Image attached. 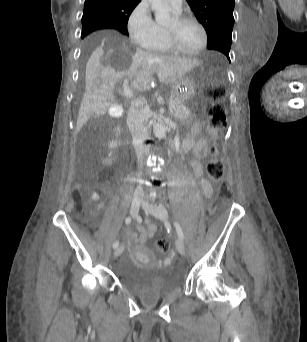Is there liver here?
<instances>
[{
    "label": "liver",
    "mask_w": 307,
    "mask_h": 342,
    "mask_svg": "<svg viewBox=\"0 0 307 342\" xmlns=\"http://www.w3.org/2000/svg\"><path fill=\"white\" fill-rule=\"evenodd\" d=\"M106 40L103 38L102 44L95 45L86 64L85 92L77 118V134L91 116L106 114L114 100V86L118 80L133 78L132 88L143 92L148 90L154 74L162 84H175L201 64L195 58L158 56L138 50L137 44Z\"/></svg>",
    "instance_id": "6515ba94"
}]
</instances>
